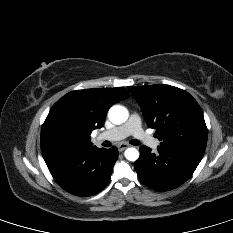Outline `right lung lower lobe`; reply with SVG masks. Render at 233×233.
<instances>
[{"label":"right lung lower lobe","instance_id":"1","mask_svg":"<svg viewBox=\"0 0 233 233\" xmlns=\"http://www.w3.org/2000/svg\"><path fill=\"white\" fill-rule=\"evenodd\" d=\"M54 180L65 191L81 197L97 194L109 182L118 151L95 146L85 149H54L42 152Z\"/></svg>","mask_w":233,"mask_h":233}]
</instances>
